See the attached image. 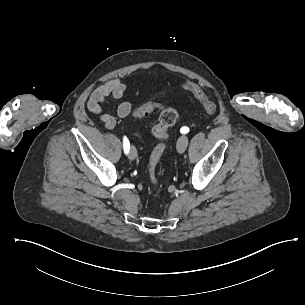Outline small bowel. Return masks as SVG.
<instances>
[{"instance_id": "c3829d8e", "label": "small bowel", "mask_w": 305, "mask_h": 305, "mask_svg": "<svg viewBox=\"0 0 305 305\" xmlns=\"http://www.w3.org/2000/svg\"><path fill=\"white\" fill-rule=\"evenodd\" d=\"M126 91V85L119 78H113L104 85L96 88L90 95L87 108L90 112L97 115L99 120L106 129H113L116 126V117L104 113L102 109V104L107 99L118 100L120 99ZM132 111V104L129 101L122 102L116 111L117 118H125L130 115Z\"/></svg>"}]
</instances>
